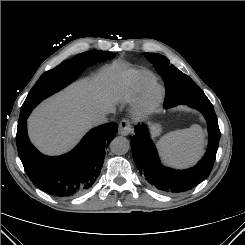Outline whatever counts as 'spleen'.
Returning <instances> with one entry per match:
<instances>
[{"mask_svg":"<svg viewBox=\"0 0 245 245\" xmlns=\"http://www.w3.org/2000/svg\"><path fill=\"white\" fill-rule=\"evenodd\" d=\"M203 133L198 125L165 134L157 143L164 161L174 167L193 163L203 148Z\"/></svg>","mask_w":245,"mask_h":245,"instance_id":"spleen-1","label":"spleen"}]
</instances>
